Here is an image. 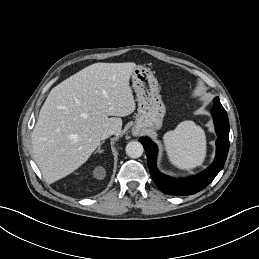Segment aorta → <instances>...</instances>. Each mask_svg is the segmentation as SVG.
Segmentation results:
<instances>
[{
    "label": "aorta",
    "instance_id": "aorta-1",
    "mask_svg": "<svg viewBox=\"0 0 259 259\" xmlns=\"http://www.w3.org/2000/svg\"><path fill=\"white\" fill-rule=\"evenodd\" d=\"M126 154L131 158H139L144 151L142 144L138 141H131L126 145Z\"/></svg>",
    "mask_w": 259,
    "mask_h": 259
}]
</instances>
